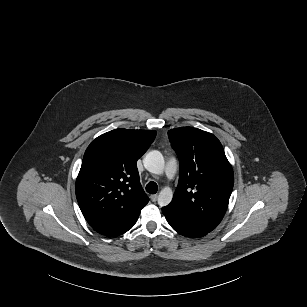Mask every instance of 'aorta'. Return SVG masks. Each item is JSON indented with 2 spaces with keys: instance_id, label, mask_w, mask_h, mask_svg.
<instances>
[{
  "instance_id": "aorta-1",
  "label": "aorta",
  "mask_w": 307,
  "mask_h": 307,
  "mask_svg": "<svg viewBox=\"0 0 307 307\" xmlns=\"http://www.w3.org/2000/svg\"><path fill=\"white\" fill-rule=\"evenodd\" d=\"M144 167L147 171L153 174H162L165 167L164 157L160 151H150L143 159ZM173 198V193L170 187L163 188L158 197L159 206H167Z\"/></svg>"
}]
</instances>
